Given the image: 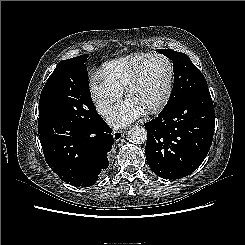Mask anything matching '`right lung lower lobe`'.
<instances>
[{"mask_svg": "<svg viewBox=\"0 0 245 245\" xmlns=\"http://www.w3.org/2000/svg\"><path fill=\"white\" fill-rule=\"evenodd\" d=\"M112 130L97 113L88 124L39 119L38 135L45 160L63 181L76 187L96 183L109 165Z\"/></svg>", "mask_w": 245, "mask_h": 245, "instance_id": "obj_1", "label": "right lung lower lobe"}]
</instances>
